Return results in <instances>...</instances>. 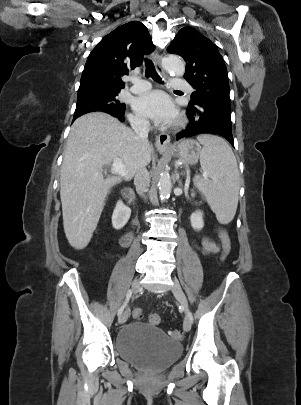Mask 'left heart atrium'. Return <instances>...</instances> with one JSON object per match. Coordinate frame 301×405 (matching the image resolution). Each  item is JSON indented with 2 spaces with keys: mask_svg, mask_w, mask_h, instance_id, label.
Listing matches in <instances>:
<instances>
[{
  "mask_svg": "<svg viewBox=\"0 0 301 405\" xmlns=\"http://www.w3.org/2000/svg\"><path fill=\"white\" fill-rule=\"evenodd\" d=\"M133 107L139 115L163 125L173 123L178 115L171 99L161 91H151L137 97Z\"/></svg>",
  "mask_w": 301,
  "mask_h": 405,
  "instance_id": "obj_1",
  "label": "left heart atrium"
}]
</instances>
